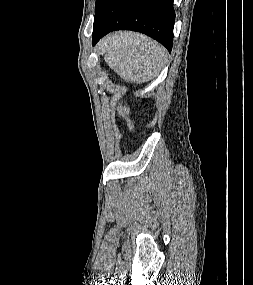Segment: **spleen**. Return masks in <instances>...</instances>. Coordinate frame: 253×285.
<instances>
[{
	"label": "spleen",
	"mask_w": 253,
	"mask_h": 285,
	"mask_svg": "<svg viewBox=\"0 0 253 285\" xmlns=\"http://www.w3.org/2000/svg\"><path fill=\"white\" fill-rule=\"evenodd\" d=\"M104 59L122 79L144 83L155 76L168 62L165 48L147 36L121 32L107 41Z\"/></svg>",
	"instance_id": "3e777b00"
}]
</instances>
